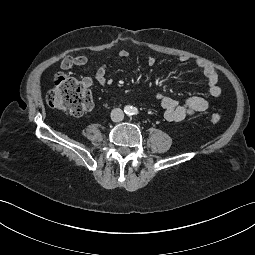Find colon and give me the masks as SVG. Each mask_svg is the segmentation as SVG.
<instances>
[{
    "label": "colon",
    "mask_w": 255,
    "mask_h": 255,
    "mask_svg": "<svg viewBox=\"0 0 255 255\" xmlns=\"http://www.w3.org/2000/svg\"><path fill=\"white\" fill-rule=\"evenodd\" d=\"M48 105L73 116H81L92 108L93 98L86 86L75 77L59 72L54 77V86L46 96ZM210 120L214 124L221 116L212 112Z\"/></svg>",
    "instance_id": "1"
}]
</instances>
